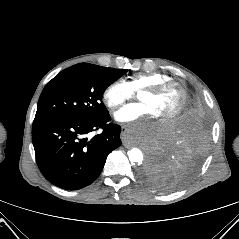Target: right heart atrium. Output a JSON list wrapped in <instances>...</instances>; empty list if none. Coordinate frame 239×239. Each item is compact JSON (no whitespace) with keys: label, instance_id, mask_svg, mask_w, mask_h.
<instances>
[{"label":"right heart atrium","instance_id":"obj_1","mask_svg":"<svg viewBox=\"0 0 239 239\" xmlns=\"http://www.w3.org/2000/svg\"><path fill=\"white\" fill-rule=\"evenodd\" d=\"M134 92L124 80H115L103 91L104 104L113 112L118 110L126 101L131 99Z\"/></svg>","mask_w":239,"mask_h":239}]
</instances>
